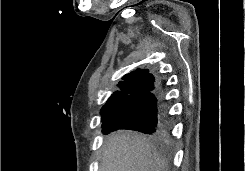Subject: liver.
<instances>
[{
  "mask_svg": "<svg viewBox=\"0 0 245 171\" xmlns=\"http://www.w3.org/2000/svg\"><path fill=\"white\" fill-rule=\"evenodd\" d=\"M100 171H167V162L146 135L119 131L104 144Z\"/></svg>",
  "mask_w": 245,
  "mask_h": 171,
  "instance_id": "6515ba94",
  "label": "liver"
}]
</instances>
